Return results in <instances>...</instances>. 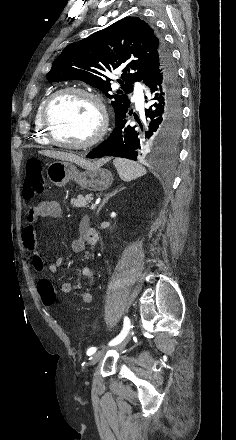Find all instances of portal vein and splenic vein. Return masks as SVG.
<instances>
[{
	"instance_id": "portal-vein-and-splenic-vein-1",
	"label": "portal vein and splenic vein",
	"mask_w": 236,
	"mask_h": 440,
	"mask_svg": "<svg viewBox=\"0 0 236 440\" xmlns=\"http://www.w3.org/2000/svg\"><path fill=\"white\" fill-rule=\"evenodd\" d=\"M96 205H97L96 203H95V204H92L90 209H91V210H94V209L96 208Z\"/></svg>"
}]
</instances>
